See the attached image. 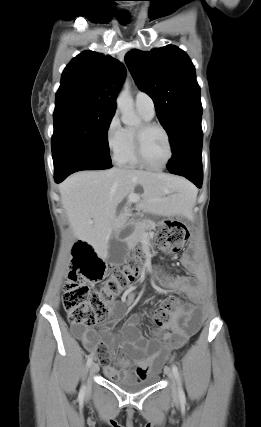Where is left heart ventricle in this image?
<instances>
[{"mask_svg": "<svg viewBox=\"0 0 261 427\" xmlns=\"http://www.w3.org/2000/svg\"><path fill=\"white\" fill-rule=\"evenodd\" d=\"M143 150L150 164L156 166L163 164L169 155L168 143L163 132L158 129L147 132L143 139Z\"/></svg>", "mask_w": 261, "mask_h": 427, "instance_id": "obj_1", "label": "left heart ventricle"}]
</instances>
